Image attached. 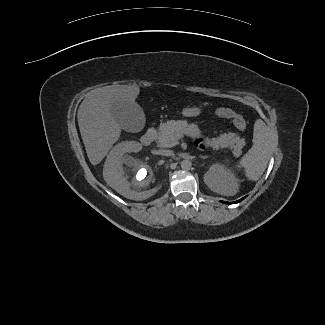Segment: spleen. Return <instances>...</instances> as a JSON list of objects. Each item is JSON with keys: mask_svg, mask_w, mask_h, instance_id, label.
Segmentation results:
<instances>
[{"mask_svg": "<svg viewBox=\"0 0 325 325\" xmlns=\"http://www.w3.org/2000/svg\"><path fill=\"white\" fill-rule=\"evenodd\" d=\"M271 154V140L269 128L261 120L257 119L254 124L253 146L241 158L237 167L244 169L249 180H258L265 171Z\"/></svg>", "mask_w": 325, "mask_h": 325, "instance_id": "3e777b00", "label": "spleen"}]
</instances>
